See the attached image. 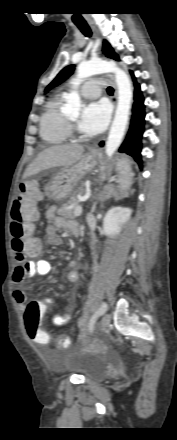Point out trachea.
<instances>
[{
  "mask_svg": "<svg viewBox=\"0 0 177 440\" xmlns=\"http://www.w3.org/2000/svg\"><path fill=\"white\" fill-rule=\"evenodd\" d=\"M75 24L86 37H91L92 32L87 23H75ZM107 92L109 94H113L114 90L112 87H108Z\"/></svg>",
  "mask_w": 177,
  "mask_h": 440,
  "instance_id": "obj_1",
  "label": "trachea"
}]
</instances>
